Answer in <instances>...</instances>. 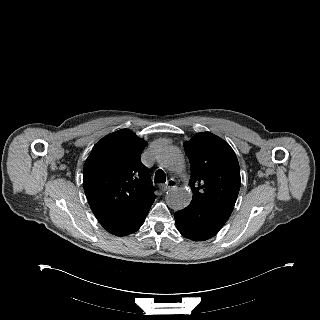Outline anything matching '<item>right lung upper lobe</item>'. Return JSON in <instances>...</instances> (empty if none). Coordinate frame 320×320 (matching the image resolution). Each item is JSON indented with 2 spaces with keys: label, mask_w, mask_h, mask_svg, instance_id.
Instances as JSON below:
<instances>
[{
  "label": "right lung upper lobe",
  "mask_w": 320,
  "mask_h": 320,
  "mask_svg": "<svg viewBox=\"0 0 320 320\" xmlns=\"http://www.w3.org/2000/svg\"><path fill=\"white\" fill-rule=\"evenodd\" d=\"M146 144L131 130L121 129L101 140L87 158L83 187L100 223L153 204L149 169L140 161Z\"/></svg>",
  "instance_id": "1"
}]
</instances>
